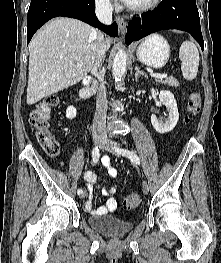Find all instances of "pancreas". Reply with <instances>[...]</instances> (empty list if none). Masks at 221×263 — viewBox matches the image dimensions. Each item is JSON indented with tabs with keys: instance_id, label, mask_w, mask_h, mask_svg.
Segmentation results:
<instances>
[{
	"instance_id": "cf45deb5",
	"label": "pancreas",
	"mask_w": 221,
	"mask_h": 263,
	"mask_svg": "<svg viewBox=\"0 0 221 263\" xmlns=\"http://www.w3.org/2000/svg\"><path fill=\"white\" fill-rule=\"evenodd\" d=\"M156 81L158 83L167 84L168 86H171V87H178L179 86L178 80L174 77H168L165 80H156Z\"/></svg>"
}]
</instances>
